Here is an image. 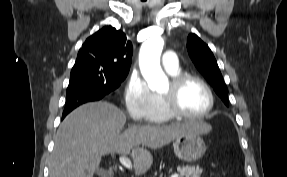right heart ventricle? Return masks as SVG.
Segmentation results:
<instances>
[{"label": "right heart ventricle", "instance_id": "1", "mask_svg": "<svg viewBox=\"0 0 287 177\" xmlns=\"http://www.w3.org/2000/svg\"><path fill=\"white\" fill-rule=\"evenodd\" d=\"M172 77H176L178 75H180V69H178L177 71L174 72H168ZM155 109L153 112V115L150 119L151 122H155V123H164L167 122L171 119V115L167 112V110L165 109V105L163 102V99L160 95H155Z\"/></svg>", "mask_w": 287, "mask_h": 177}]
</instances>
